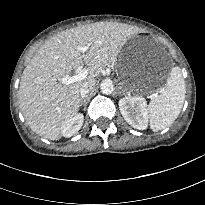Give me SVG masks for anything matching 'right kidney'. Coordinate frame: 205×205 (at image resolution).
Here are the masks:
<instances>
[{"instance_id":"obj_1","label":"right kidney","mask_w":205,"mask_h":205,"mask_svg":"<svg viewBox=\"0 0 205 205\" xmlns=\"http://www.w3.org/2000/svg\"><path fill=\"white\" fill-rule=\"evenodd\" d=\"M84 122L83 114H76L75 116L68 119L62 126V134L66 137L73 136L80 130Z\"/></svg>"}]
</instances>
